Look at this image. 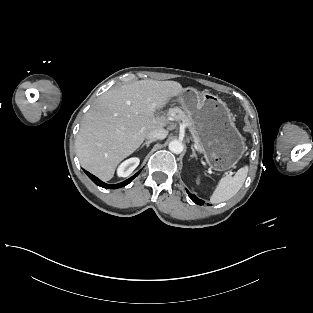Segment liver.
<instances>
[{
  "instance_id": "6515ba94",
  "label": "liver",
  "mask_w": 313,
  "mask_h": 313,
  "mask_svg": "<svg viewBox=\"0 0 313 313\" xmlns=\"http://www.w3.org/2000/svg\"><path fill=\"white\" fill-rule=\"evenodd\" d=\"M175 81L140 80L110 89L86 113L76 137L81 166L103 181H109L118 164L136 151L147 134L163 129L167 117L156 116L172 97L183 92Z\"/></svg>"
}]
</instances>
